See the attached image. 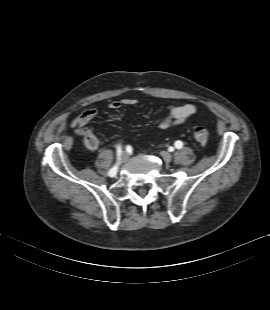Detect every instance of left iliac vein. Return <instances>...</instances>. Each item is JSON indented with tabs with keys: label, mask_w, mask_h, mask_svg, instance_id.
I'll return each instance as SVG.
<instances>
[{
	"label": "left iliac vein",
	"mask_w": 270,
	"mask_h": 310,
	"mask_svg": "<svg viewBox=\"0 0 270 310\" xmlns=\"http://www.w3.org/2000/svg\"><path fill=\"white\" fill-rule=\"evenodd\" d=\"M161 155H162L164 161L167 162V163H169L172 160V155L169 152H167V151H163L161 153Z\"/></svg>",
	"instance_id": "1"
}]
</instances>
